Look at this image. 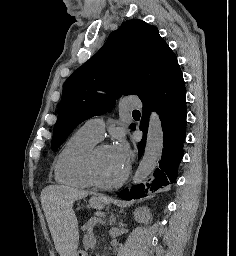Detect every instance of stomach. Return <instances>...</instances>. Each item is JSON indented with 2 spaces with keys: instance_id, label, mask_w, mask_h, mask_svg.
I'll return each mask as SVG.
<instances>
[{
  "instance_id": "stomach-1",
  "label": "stomach",
  "mask_w": 236,
  "mask_h": 256,
  "mask_svg": "<svg viewBox=\"0 0 236 256\" xmlns=\"http://www.w3.org/2000/svg\"><path fill=\"white\" fill-rule=\"evenodd\" d=\"M105 200L102 199H91L90 200V206L95 209H102L105 206ZM75 256H87V253L85 251H78Z\"/></svg>"
}]
</instances>
